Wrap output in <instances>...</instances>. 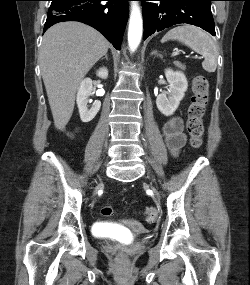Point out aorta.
Listing matches in <instances>:
<instances>
[{
    "label": "aorta",
    "instance_id": "1",
    "mask_svg": "<svg viewBox=\"0 0 250 285\" xmlns=\"http://www.w3.org/2000/svg\"><path fill=\"white\" fill-rule=\"evenodd\" d=\"M143 32L141 11L137 2H132L128 29V45L131 51L139 46Z\"/></svg>",
    "mask_w": 250,
    "mask_h": 285
}]
</instances>
